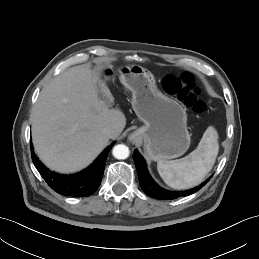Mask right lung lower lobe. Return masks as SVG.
Here are the masks:
<instances>
[{
    "label": "right lung lower lobe",
    "mask_w": 259,
    "mask_h": 259,
    "mask_svg": "<svg viewBox=\"0 0 259 259\" xmlns=\"http://www.w3.org/2000/svg\"><path fill=\"white\" fill-rule=\"evenodd\" d=\"M30 146L35 167L55 192L65 196L86 197L98 189L103 177L106 157L113 144L107 147L89 168L74 175H61L50 171L35 155L32 142Z\"/></svg>",
    "instance_id": "98d812e1"
}]
</instances>
